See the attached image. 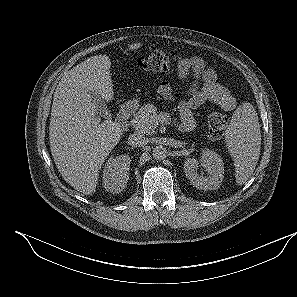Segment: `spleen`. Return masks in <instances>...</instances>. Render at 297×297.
I'll return each instance as SVG.
<instances>
[{
    "label": "spleen",
    "mask_w": 297,
    "mask_h": 297,
    "mask_svg": "<svg viewBox=\"0 0 297 297\" xmlns=\"http://www.w3.org/2000/svg\"><path fill=\"white\" fill-rule=\"evenodd\" d=\"M225 143L234 160L236 183L242 185L255 170L261 146L260 124L251 104L243 103L234 111Z\"/></svg>",
    "instance_id": "spleen-1"
}]
</instances>
